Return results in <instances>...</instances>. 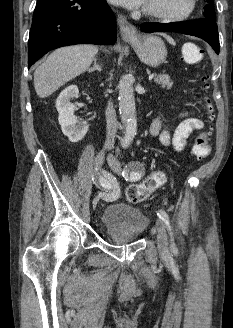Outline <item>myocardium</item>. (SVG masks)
Returning <instances> with one entry per match:
<instances>
[{"label":"myocardium","instance_id":"1","mask_svg":"<svg viewBox=\"0 0 233 328\" xmlns=\"http://www.w3.org/2000/svg\"><path fill=\"white\" fill-rule=\"evenodd\" d=\"M197 7V0H188L186 9L180 14H167L163 12L153 11L143 8V14L149 18L162 22H181L189 19L195 12Z\"/></svg>","mask_w":233,"mask_h":328}]
</instances>
